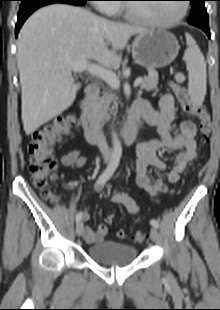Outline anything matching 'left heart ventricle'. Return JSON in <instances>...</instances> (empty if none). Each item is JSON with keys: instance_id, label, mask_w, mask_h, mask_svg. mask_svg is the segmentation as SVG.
Listing matches in <instances>:
<instances>
[{"instance_id": "b2bd125f", "label": "left heart ventricle", "mask_w": 220, "mask_h": 310, "mask_svg": "<svg viewBox=\"0 0 220 310\" xmlns=\"http://www.w3.org/2000/svg\"><path fill=\"white\" fill-rule=\"evenodd\" d=\"M133 12L156 21H167L176 17L181 11V3L132 4Z\"/></svg>"}]
</instances>
